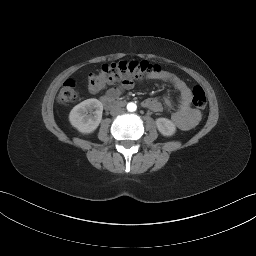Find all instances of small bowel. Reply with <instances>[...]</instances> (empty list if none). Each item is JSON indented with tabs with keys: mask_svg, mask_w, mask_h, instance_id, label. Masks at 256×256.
Segmentation results:
<instances>
[{
	"mask_svg": "<svg viewBox=\"0 0 256 256\" xmlns=\"http://www.w3.org/2000/svg\"><path fill=\"white\" fill-rule=\"evenodd\" d=\"M155 78L169 83L180 94L178 109L171 115L173 123L181 130H190L195 127L201 119V114L191 106L192 95L189 86L181 78L170 72H162ZM134 86L135 81L133 79H123L114 83L106 91V95L112 98H118L124 92L133 89ZM165 104L168 108L173 107L169 95L165 97ZM142 105L153 112H160L162 110L161 103L155 98L145 99Z\"/></svg>",
	"mask_w": 256,
	"mask_h": 256,
	"instance_id": "1",
	"label": "small bowel"
}]
</instances>
